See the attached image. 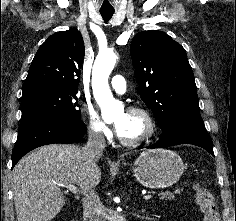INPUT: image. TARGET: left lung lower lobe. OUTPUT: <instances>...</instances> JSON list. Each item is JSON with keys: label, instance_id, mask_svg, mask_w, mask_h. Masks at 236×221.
Wrapping results in <instances>:
<instances>
[{"label": "left lung lower lobe", "instance_id": "0a47b994", "mask_svg": "<svg viewBox=\"0 0 236 221\" xmlns=\"http://www.w3.org/2000/svg\"><path fill=\"white\" fill-rule=\"evenodd\" d=\"M163 129L157 143L147 148H162L179 144H193L214 156L213 143L201 116H181L171 120Z\"/></svg>", "mask_w": 236, "mask_h": 221}]
</instances>
